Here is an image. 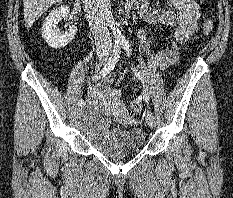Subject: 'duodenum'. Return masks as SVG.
Instances as JSON below:
<instances>
[{
  "instance_id": "1",
  "label": "duodenum",
  "mask_w": 233,
  "mask_h": 198,
  "mask_svg": "<svg viewBox=\"0 0 233 198\" xmlns=\"http://www.w3.org/2000/svg\"><path fill=\"white\" fill-rule=\"evenodd\" d=\"M144 0H127L126 8L128 10L139 8L143 5Z\"/></svg>"
}]
</instances>
